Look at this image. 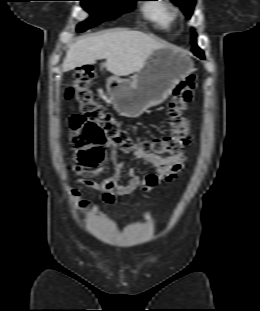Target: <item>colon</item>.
Wrapping results in <instances>:
<instances>
[{
  "mask_svg": "<svg viewBox=\"0 0 260 311\" xmlns=\"http://www.w3.org/2000/svg\"><path fill=\"white\" fill-rule=\"evenodd\" d=\"M95 78L92 67L77 70L65 99L78 104L79 112L67 122L71 130V145L76 162L83 167H94L105 158L103 145L112 141L126 150L133 148L158 156H178L190 143L191 135L184 112L191 100L196 83L193 76L181 80L173 91L168 108L169 135L135 143L130 131L94 99L90 88Z\"/></svg>",
  "mask_w": 260,
  "mask_h": 311,
  "instance_id": "5ec220e1",
  "label": "colon"
}]
</instances>
